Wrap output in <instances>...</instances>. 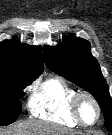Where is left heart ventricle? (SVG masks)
Instances as JSON below:
<instances>
[{
    "mask_svg": "<svg viewBox=\"0 0 112 135\" xmlns=\"http://www.w3.org/2000/svg\"><path fill=\"white\" fill-rule=\"evenodd\" d=\"M80 114L86 123H93L97 117V111L93 103L84 98L80 101Z\"/></svg>",
    "mask_w": 112,
    "mask_h": 135,
    "instance_id": "1",
    "label": "left heart ventricle"
}]
</instances>
